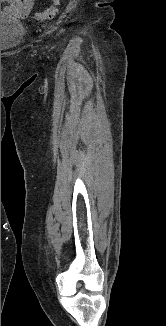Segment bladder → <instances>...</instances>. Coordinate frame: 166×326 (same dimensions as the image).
Masks as SVG:
<instances>
[{"label":"bladder","instance_id":"1","mask_svg":"<svg viewBox=\"0 0 166 326\" xmlns=\"http://www.w3.org/2000/svg\"><path fill=\"white\" fill-rule=\"evenodd\" d=\"M22 33V22L12 14L1 11V51L16 47Z\"/></svg>","mask_w":166,"mask_h":326}]
</instances>
